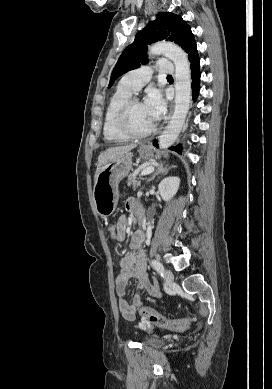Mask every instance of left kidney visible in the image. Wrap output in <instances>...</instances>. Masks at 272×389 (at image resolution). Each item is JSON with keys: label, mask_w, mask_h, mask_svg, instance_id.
Segmentation results:
<instances>
[{"label": "left kidney", "mask_w": 272, "mask_h": 389, "mask_svg": "<svg viewBox=\"0 0 272 389\" xmlns=\"http://www.w3.org/2000/svg\"><path fill=\"white\" fill-rule=\"evenodd\" d=\"M180 179L175 176L164 178L158 185V190L164 201H169L178 191Z\"/></svg>", "instance_id": "5707ae66"}]
</instances>
